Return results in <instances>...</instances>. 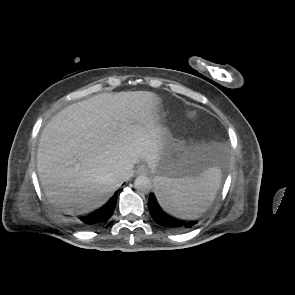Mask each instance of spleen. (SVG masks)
I'll use <instances>...</instances> for the list:
<instances>
[{
	"instance_id": "1",
	"label": "spleen",
	"mask_w": 295,
	"mask_h": 295,
	"mask_svg": "<svg viewBox=\"0 0 295 295\" xmlns=\"http://www.w3.org/2000/svg\"><path fill=\"white\" fill-rule=\"evenodd\" d=\"M155 182L156 196L162 208L178 218L193 220L199 218L215 199L221 171L212 167L199 178L155 177Z\"/></svg>"
}]
</instances>
